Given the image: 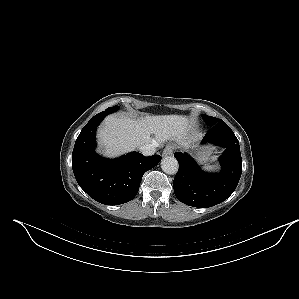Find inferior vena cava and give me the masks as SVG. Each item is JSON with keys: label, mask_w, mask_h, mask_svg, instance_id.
Listing matches in <instances>:
<instances>
[{"label": "inferior vena cava", "mask_w": 299, "mask_h": 299, "mask_svg": "<svg viewBox=\"0 0 299 299\" xmlns=\"http://www.w3.org/2000/svg\"><path fill=\"white\" fill-rule=\"evenodd\" d=\"M156 144H145L139 147L140 153H142L144 156H150L153 155L156 151Z\"/></svg>", "instance_id": "obj_1"}]
</instances>
